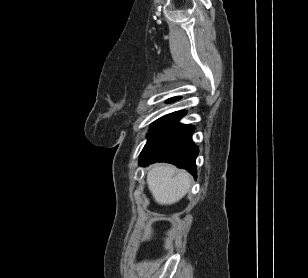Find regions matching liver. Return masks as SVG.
Instances as JSON below:
<instances>
[{"instance_id": "1", "label": "liver", "mask_w": 308, "mask_h": 278, "mask_svg": "<svg viewBox=\"0 0 308 278\" xmlns=\"http://www.w3.org/2000/svg\"><path fill=\"white\" fill-rule=\"evenodd\" d=\"M147 184L155 201L161 205L178 202L189 191L191 176L169 164L153 165L147 175Z\"/></svg>"}]
</instances>
